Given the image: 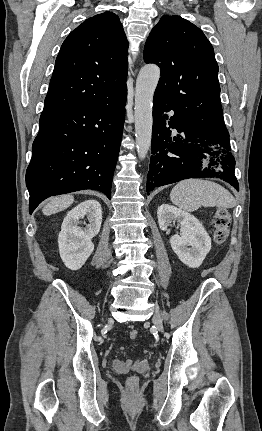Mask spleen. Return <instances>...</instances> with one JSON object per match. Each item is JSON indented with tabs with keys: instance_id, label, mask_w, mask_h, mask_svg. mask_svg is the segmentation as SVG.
Listing matches in <instances>:
<instances>
[{
	"instance_id": "spleen-1",
	"label": "spleen",
	"mask_w": 262,
	"mask_h": 431,
	"mask_svg": "<svg viewBox=\"0 0 262 431\" xmlns=\"http://www.w3.org/2000/svg\"><path fill=\"white\" fill-rule=\"evenodd\" d=\"M173 204L193 212L200 206L233 208L235 199L223 186L203 179H186L177 183L170 193Z\"/></svg>"
}]
</instances>
